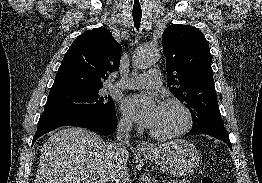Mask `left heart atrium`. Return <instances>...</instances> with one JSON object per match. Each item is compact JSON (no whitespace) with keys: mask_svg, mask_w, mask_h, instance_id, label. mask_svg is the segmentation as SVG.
<instances>
[{"mask_svg":"<svg viewBox=\"0 0 262 183\" xmlns=\"http://www.w3.org/2000/svg\"><path fill=\"white\" fill-rule=\"evenodd\" d=\"M122 111L146 128H152L157 118L160 104L151 96L132 95L121 102Z\"/></svg>","mask_w":262,"mask_h":183,"instance_id":"39dd6f15","label":"left heart atrium"}]
</instances>
